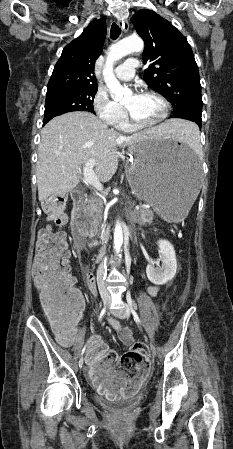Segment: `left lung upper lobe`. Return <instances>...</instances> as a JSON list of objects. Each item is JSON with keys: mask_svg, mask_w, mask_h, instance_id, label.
<instances>
[{"mask_svg": "<svg viewBox=\"0 0 233 449\" xmlns=\"http://www.w3.org/2000/svg\"><path fill=\"white\" fill-rule=\"evenodd\" d=\"M144 40V81L167 98L173 116L202 122V96L199 71L187 39L169 21L152 10H140L131 18Z\"/></svg>", "mask_w": 233, "mask_h": 449, "instance_id": "left-lung-upper-lobe-1", "label": "left lung upper lobe"}]
</instances>
